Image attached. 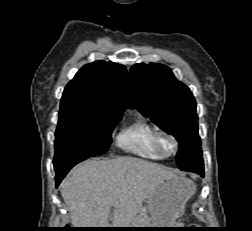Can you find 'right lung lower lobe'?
I'll return each mask as SVG.
<instances>
[{
  "mask_svg": "<svg viewBox=\"0 0 252 231\" xmlns=\"http://www.w3.org/2000/svg\"><path fill=\"white\" fill-rule=\"evenodd\" d=\"M87 159V158H85ZM85 159H79V160H75L73 162H70L68 164H64L62 166L56 167L55 168V172H56V186L59 185V183L61 182V180L65 177V175L68 173V171L77 163L85 160Z\"/></svg>",
  "mask_w": 252,
  "mask_h": 231,
  "instance_id": "obj_1",
  "label": "right lung lower lobe"
}]
</instances>
